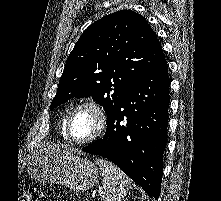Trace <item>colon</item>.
Listing matches in <instances>:
<instances>
[{
    "label": "colon",
    "instance_id": "5ec220e1",
    "mask_svg": "<svg viewBox=\"0 0 221 201\" xmlns=\"http://www.w3.org/2000/svg\"><path fill=\"white\" fill-rule=\"evenodd\" d=\"M21 201H32V197L30 194H26L21 198Z\"/></svg>",
    "mask_w": 221,
    "mask_h": 201
}]
</instances>
